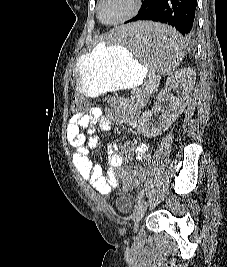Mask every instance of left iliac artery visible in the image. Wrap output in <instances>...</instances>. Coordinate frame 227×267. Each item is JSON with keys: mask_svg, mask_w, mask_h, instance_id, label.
<instances>
[{"mask_svg": "<svg viewBox=\"0 0 227 267\" xmlns=\"http://www.w3.org/2000/svg\"><path fill=\"white\" fill-rule=\"evenodd\" d=\"M143 196H144V189L141 190V192H140L139 195H138V200H137V203H138V204H140V202H141Z\"/></svg>", "mask_w": 227, "mask_h": 267, "instance_id": "1", "label": "left iliac artery"}]
</instances>
